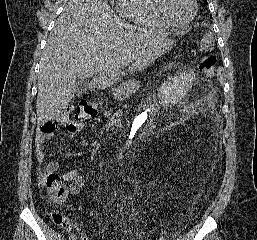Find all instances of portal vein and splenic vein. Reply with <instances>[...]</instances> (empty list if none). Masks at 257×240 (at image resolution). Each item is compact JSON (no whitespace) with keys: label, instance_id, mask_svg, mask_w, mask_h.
<instances>
[{"label":"portal vein and splenic vein","instance_id":"1","mask_svg":"<svg viewBox=\"0 0 257 240\" xmlns=\"http://www.w3.org/2000/svg\"><path fill=\"white\" fill-rule=\"evenodd\" d=\"M101 58H102V59H105V58H106V56H102Z\"/></svg>","mask_w":257,"mask_h":240}]
</instances>
